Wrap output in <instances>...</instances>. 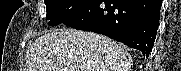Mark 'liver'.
Masks as SVG:
<instances>
[{"label":"liver","mask_w":181,"mask_h":71,"mask_svg":"<svg viewBox=\"0 0 181 71\" xmlns=\"http://www.w3.org/2000/svg\"><path fill=\"white\" fill-rule=\"evenodd\" d=\"M132 64L130 54L110 38L63 28L36 39L27 71H130Z\"/></svg>","instance_id":"obj_1"}]
</instances>
